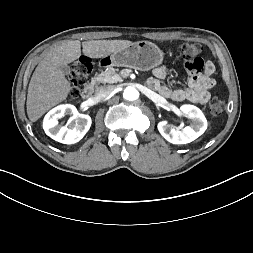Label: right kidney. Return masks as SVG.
Wrapping results in <instances>:
<instances>
[{
    "label": "right kidney",
    "instance_id": "ca27d5eb",
    "mask_svg": "<svg viewBox=\"0 0 253 253\" xmlns=\"http://www.w3.org/2000/svg\"><path fill=\"white\" fill-rule=\"evenodd\" d=\"M68 115L71 116L68 123L60 126L58 120ZM91 123L89 115L79 114L74 105L64 104L53 108L46 114L43 128L52 139L64 144H74L84 137Z\"/></svg>",
    "mask_w": 253,
    "mask_h": 253
}]
</instances>
